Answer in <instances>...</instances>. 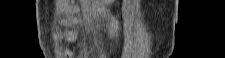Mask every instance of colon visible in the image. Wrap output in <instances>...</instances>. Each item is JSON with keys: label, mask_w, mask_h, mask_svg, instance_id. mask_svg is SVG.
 Masks as SVG:
<instances>
[{"label": "colon", "mask_w": 225, "mask_h": 58, "mask_svg": "<svg viewBox=\"0 0 225 58\" xmlns=\"http://www.w3.org/2000/svg\"><path fill=\"white\" fill-rule=\"evenodd\" d=\"M65 4V6L68 5L69 1H64L63 2ZM65 11L68 13L71 11V8L70 7H66L65 8ZM73 24L72 21L66 19L65 21H63L62 23V29H61V32H60V36L61 38H64V39H67V40H72L73 39V34L72 32L70 31V26Z\"/></svg>", "instance_id": "1"}]
</instances>
